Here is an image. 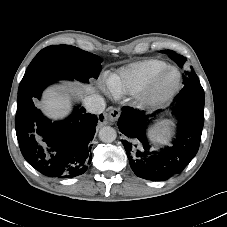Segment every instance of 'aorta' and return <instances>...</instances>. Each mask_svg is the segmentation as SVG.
Instances as JSON below:
<instances>
[{"label": "aorta", "instance_id": "obj_1", "mask_svg": "<svg viewBox=\"0 0 227 227\" xmlns=\"http://www.w3.org/2000/svg\"><path fill=\"white\" fill-rule=\"evenodd\" d=\"M117 137V132L113 127L104 126L99 131V138L104 143H111Z\"/></svg>", "mask_w": 227, "mask_h": 227}]
</instances>
